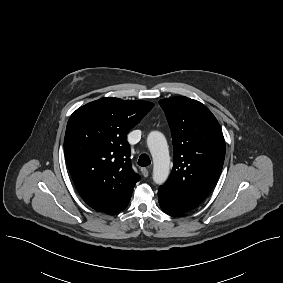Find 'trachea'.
Wrapping results in <instances>:
<instances>
[{
	"label": "trachea",
	"instance_id": "obj_1",
	"mask_svg": "<svg viewBox=\"0 0 283 283\" xmlns=\"http://www.w3.org/2000/svg\"><path fill=\"white\" fill-rule=\"evenodd\" d=\"M151 163L150 158L146 154H142L138 159V165L145 167Z\"/></svg>",
	"mask_w": 283,
	"mask_h": 283
}]
</instances>
